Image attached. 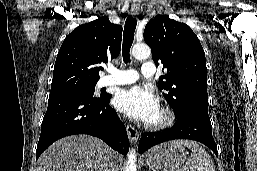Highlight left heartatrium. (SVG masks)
I'll return each mask as SVG.
<instances>
[{"mask_svg":"<svg viewBox=\"0 0 257 171\" xmlns=\"http://www.w3.org/2000/svg\"><path fill=\"white\" fill-rule=\"evenodd\" d=\"M114 106L127 116L144 122L150 121L159 110L157 96L141 86L120 90L114 98Z\"/></svg>","mask_w":257,"mask_h":171,"instance_id":"left-heart-atrium-1","label":"left heart atrium"}]
</instances>
